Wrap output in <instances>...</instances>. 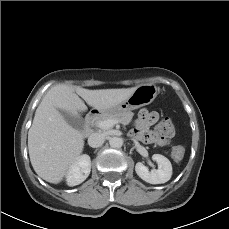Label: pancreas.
<instances>
[{"label": "pancreas", "instance_id": "cf45deb5", "mask_svg": "<svg viewBox=\"0 0 229 229\" xmlns=\"http://www.w3.org/2000/svg\"><path fill=\"white\" fill-rule=\"evenodd\" d=\"M133 117V113L130 111L127 112H121V113H116V114H110V115H103L98 122L104 121V120H117L118 122L126 125L128 124Z\"/></svg>", "mask_w": 229, "mask_h": 229}]
</instances>
